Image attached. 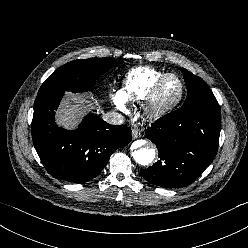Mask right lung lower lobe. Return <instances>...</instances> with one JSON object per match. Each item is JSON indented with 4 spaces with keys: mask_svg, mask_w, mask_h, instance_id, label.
Returning a JSON list of instances; mask_svg holds the SVG:
<instances>
[{
    "mask_svg": "<svg viewBox=\"0 0 248 248\" xmlns=\"http://www.w3.org/2000/svg\"><path fill=\"white\" fill-rule=\"evenodd\" d=\"M64 92L38 95L34 104L32 138L46 170L53 177L74 183L95 178L111 154L131 141V129L114 126L88 114L77 130L55 123V110Z\"/></svg>",
    "mask_w": 248,
    "mask_h": 248,
    "instance_id": "1",
    "label": "right lung lower lobe"
}]
</instances>
